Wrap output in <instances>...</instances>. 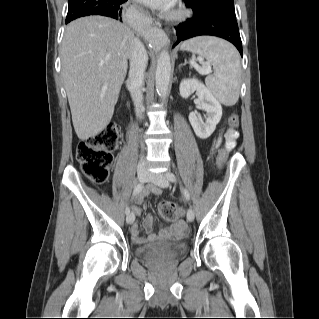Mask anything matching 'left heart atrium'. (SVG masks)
Here are the masks:
<instances>
[{
    "label": "left heart atrium",
    "mask_w": 319,
    "mask_h": 319,
    "mask_svg": "<svg viewBox=\"0 0 319 319\" xmlns=\"http://www.w3.org/2000/svg\"><path fill=\"white\" fill-rule=\"evenodd\" d=\"M138 1L142 2L143 4L153 9L160 10V11H167L173 6L175 0H138Z\"/></svg>",
    "instance_id": "39dd6f15"
}]
</instances>
